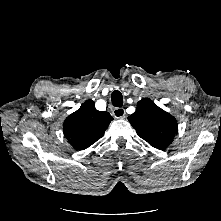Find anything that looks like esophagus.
<instances>
[{
  "instance_id": "obj_1",
  "label": "esophagus",
  "mask_w": 221,
  "mask_h": 221,
  "mask_svg": "<svg viewBox=\"0 0 221 221\" xmlns=\"http://www.w3.org/2000/svg\"><path fill=\"white\" fill-rule=\"evenodd\" d=\"M112 113H113V116L117 119L124 118L126 114L124 108H114Z\"/></svg>"
}]
</instances>
